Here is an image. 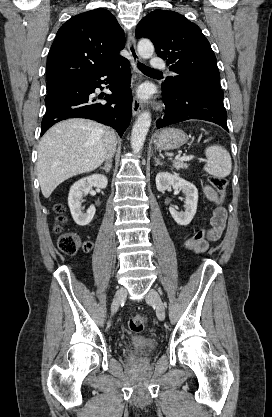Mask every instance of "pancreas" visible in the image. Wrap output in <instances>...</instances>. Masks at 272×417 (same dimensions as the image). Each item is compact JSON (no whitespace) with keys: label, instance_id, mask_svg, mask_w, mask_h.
<instances>
[{"label":"pancreas","instance_id":"cf45deb5","mask_svg":"<svg viewBox=\"0 0 272 417\" xmlns=\"http://www.w3.org/2000/svg\"><path fill=\"white\" fill-rule=\"evenodd\" d=\"M173 167L177 170L181 169V168H187L188 165L183 163V162H174Z\"/></svg>","mask_w":272,"mask_h":417}]
</instances>
